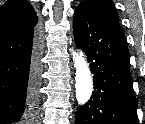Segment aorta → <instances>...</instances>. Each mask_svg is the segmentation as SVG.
Segmentation results:
<instances>
[{
	"mask_svg": "<svg viewBox=\"0 0 145 124\" xmlns=\"http://www.w3.org/2000/svg\"><path fill=\"white\" fill-rule=\"evenodd\" d=\"M75 72V94L78 104L87 103L93 92V78L82 52L74 55Z\"/></svg>",
	"mask_w": 145,
	"mask_h": 124,
	"instance_id": "762f6f07",
	"label": "aorta"
}]
</instances>
